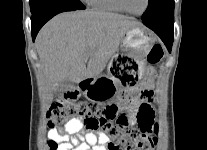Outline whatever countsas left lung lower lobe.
I'll return each mask as SVG.
<instances>
[{
    "label": "left lung lower lobe",
    "instance_id": "0a47b994",
    "mask_svg": "<svg viewBox=\"0 0 207 150\" xmlns=\"http://www.w3.org/2000/svg\"><path fill=\"white\" fill-rule=\"evenodd\" d=\"M142 22L162 39L168 51L171 52L174 38V11L159 18L142 20Z\"/></svg>",
    "mask_w": 207,
    "mask_h": 150
}]
</instances>
